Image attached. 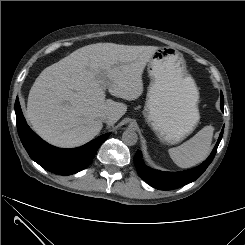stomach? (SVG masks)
I'll list each match as a JSON object with an SVG mask.
<instances>
[{
    "instance_id": "0dacf381",
    "label": "stomach",
    "mask_w": 245,
    "mask_h": 245,
    "mask_svg": "<svg viewBox=\"0 0 245 245\" xmlns=\"http://www.w3.org/2000/svg\"><path fill=\"white\" fill-rule=\"evenodd\" d=\"M147 69L151 81L143 115L161 141L176 144L199 123L197 85L183 55L171 47H159Z\"/></svg>"
}]
</instances>
